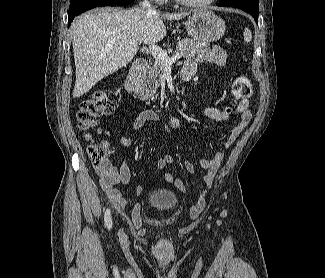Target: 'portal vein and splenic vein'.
I'll return each instance as SVG.
<instances>
[{"label":"portal vein and splenic vein","mask_w":325,"mask_h":278,"mask_svg":"<svg viewBox=\"0 0 325 278\" xmlns=\"http://www.w3.org/2000/svg\"><path fill=\"white\" fill-rule=\"evenodd\" d=\"M149 50L156 61L160 62L164 67H171L175 61L179 60L183 56V53L179 52L172 57H169L165 51L155 44H150Z\"/></svg>","instance_id":"portal-vein-and-splenic-vein-1"}]
</instances>
